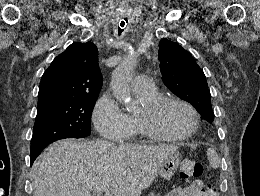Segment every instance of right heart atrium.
Segmentation results:
<instances>
[{
    "mask_svg": "<svg viewBox=\"0 0 260 196\" xmlns=\"http://www.w3.org/2000/svg\"><path fill=\"white\" fill-rule=\"evenodd\" d=\"M92 121L101 135V138L92 143H115L114 141L120 138L117 131L131 127L129 115L115 101L110 92L101 94L95 102L92 110Z\"/></svg>",
    "mask_w": 260,
    "mask_h": 196,
    "instance_id": "obj_1",
    "label": "right heart atrium"
}]
</instances>
